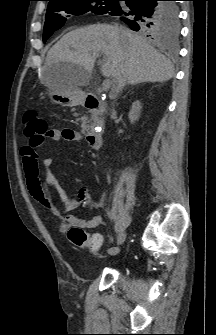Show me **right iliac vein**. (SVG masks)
<instances>
[{"mask_svg":"<svg viewBox=\"0 0 216 335\" xmlns=\"http://www.w3.org/2000/svg\"><path fill=\"white\" fill-rule=\"evenodd\" d=\"M126 232L122 231L117 238V245L121 246L126 240Z\"/></svg>","mask_w":216,"mask_h":335,"instance_id":"1","label":"right iliac vein"}]
</instances>
